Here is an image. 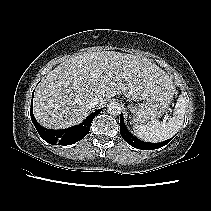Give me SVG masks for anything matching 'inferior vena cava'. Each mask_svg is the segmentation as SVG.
Instances as JSON below:
<instances>
[{
  "instance_id": "602c4592",
  "label": "inferior vena cava",
  "mask_w": 211,
  "mask_h": 211,
  "mask_svg": "<svg viewBox=\"0 0 211 211\" xmlns=\"http://www.w3.org/2000/svg\"><path fill=\"white\" fill-rule=\"evenodd\" d=\"M102 103H103V98L100 95H96L91 99L89 105L94 108L100 106Z\"/></svg>"
}]
</instances>
